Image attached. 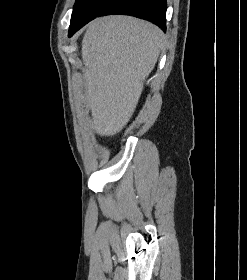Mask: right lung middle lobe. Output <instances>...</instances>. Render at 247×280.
I'll return each mask as SVG.
<instances>
[{"label":"right lung middle lobe","instance_id":"right-lung-middle-lobe-1","mask_svg":"<svg viewBox=\"0 0 247 280\" xmlns=\"http://www.w3.org/2000/svg\"><path fill=\"white\" fill-rule=\"evenodd\" d=\"M108 0H76L71 16L70 27L92 20Z\"/></svg>","mask_w":247,"mask_h":280}]
</instances>
